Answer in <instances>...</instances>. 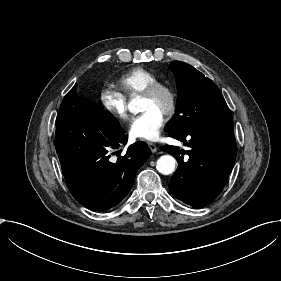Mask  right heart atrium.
<instances>
[{
    "instance_id": "d8ad5b80",
    "label": "right heart atrium",
    "mask_w": 281,
    "mask_h": 281,
    "mask_svg": "<svg viewBox=\"0 0 281 281\" xmlns=\"http://www.w3.org/2000/svg\"><path fill=\"white\" fill-rule=\"evenodd\" d=\"M103 109L108 115L118 120H129L128 106L122 93L110 86H104L99 93Z\"/></svg>"
}]
</instances>
